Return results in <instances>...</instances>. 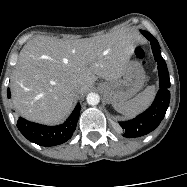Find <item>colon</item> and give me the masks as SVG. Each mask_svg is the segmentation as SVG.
I'll return each mask as SVG.
<instances>
[{"label": "colon", "instance_id": "1", "mask_svg": "<svg viewBox=\"0 0 187 187\" xmlns=\"http://www.w3.org/2000/svg\"><path fill=\"white\" fill-rule=\"evenodd\" d=\"M134 54H135V57H136L137 59L141 60V61H143L144 58H145V51H144V49L141 48V47H137V48L135 49Z\"/></svg>", "mask_w": 187, "mask_h": 187}]
</instances>
